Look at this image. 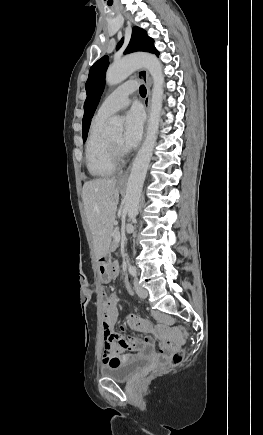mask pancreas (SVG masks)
I'll return each instance as SVG.
<instances>
[{
    "instance_id": "obj_1",
    "label": "pancreas",
    "mask_w": 263,
    "mask_h": 435,
    "mask_svg": "<svg viewBox=\"0 0 263 435\" xmlns=\"http://www.w3.org/2000/svg\"><path fill=\"white\" fill-rule=\"evenodd\" d=\"M116 229L113 231V233H112V236H113V239H114V242H115V233H116Z\"/></svg>"
}]
</instances>
